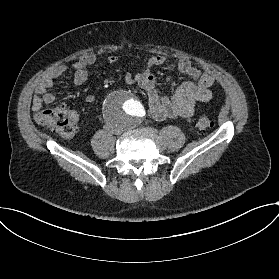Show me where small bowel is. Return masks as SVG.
I'll return each mask as SVG.
<instances>
[{
	"mask_svg": "<svg viewBox=\"0 0 279 279\" xmlns=\"http://www.w3.org/2000/svg\"><path fill=\"white\" fill-rule=\"evenodd\" d=\"M118 56L112 54L108 57L110 64L118 62ZM166 58L163 55H154L147 61V69L142 72L126 71L124 81L128 84H137L143 88L148 95L149 111L154 119L162 121L173 118H188L193 115L195 108L213 98L210 87L214 83V78L208 73H203L200 67L192 61L182 58L177 62V70L185 74L188 80L180 84L170 98L161 97L155 86V77L151 68L161 66ZM96 62L94 54L81 56L73 65V83L77 88L85 83L88 78L87 68ZM68 70L64 64H60L50 70L36 85L35 94L32 99L31 109L38 113L44 105L54 103L55 96L49 92L55 81L63 76ZM86 101H93L94 95L82 93ZM72 120L79 121V115L71 111Z\"/></svg>",
	"mask_w": 279,
	"mask_h": 279,
	"instance_id": "obj_1",
	"label": "small bowel"
}]
</instances>
